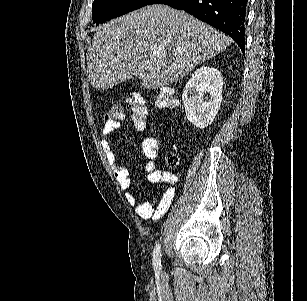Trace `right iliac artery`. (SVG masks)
Here are the masks:
<instances>
[{
  "instance_id": "82829eb1",
  "label": "right iliac artery",
  "mask_w": 307,
  "mask_h": 301,
  "mask_svg": "<svg viewBox=\"0 0 307 301\" xmlns=\"http://www.w3.org/2000/svg\"><path fill=\"white\" fill-rule=\"evenodd\" d=\"M153 265L156 270L161 269V245L157 244L153 251Z\"/></svg>"
}]
</instances>
